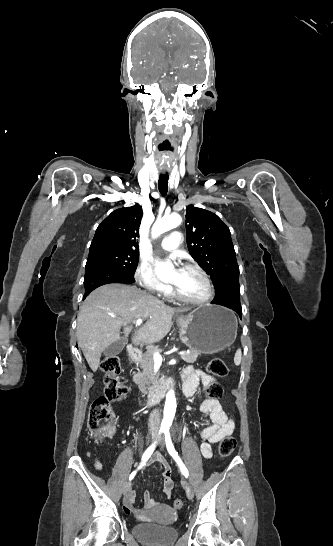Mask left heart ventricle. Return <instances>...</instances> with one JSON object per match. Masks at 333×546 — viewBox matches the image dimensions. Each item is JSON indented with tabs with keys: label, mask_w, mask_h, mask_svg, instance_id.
Instances as JSON below:
<instances>
[{
	"label": "left heart ventricle",
	"mask_w": 333,
	"mask_h": 546,
	"mask_svg": "<svg viewBox=\"0 0 333 546\" xmlns=\"http://www.w3.org/2000/svg\"><path fill=\"white\" fill-rule=\"evenodd\" d=\"M177 290L185 297L200 299L206 296L207 286L202 277L195 271L184 270L183 276L178 280L175 274L171 280Z\"/></svg>",
	"instance_id": "1"
}]
</instances>
